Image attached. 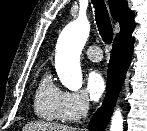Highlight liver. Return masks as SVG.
Instances as JSON below:
<instances>
[{
    "instance_id": "1",
    "label": "liver",
    "mask_w": 147,
    "mask_h": 131,
    "mask_svg": "<svg viewBox=\"0 0 147 131\" xmlns=\"http://www.w3.org/2000/svg\"><path fill=\"white\" fill-rule=\"evenodd\" d=\"M23 131H77V129L62 124H52L48 122H30L25 125Z\"/></svg>"
}]
</instances>
